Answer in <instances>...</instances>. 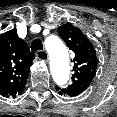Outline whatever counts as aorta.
I'll use <instances>...</instances> for the list:
<instances>
[{
    "label": "aorta",
    "instance_id": "1",
    "mask_svg": "<svg viewBox=\"0 0 117 117\" xmlns=\"http://www.w3.org/2000/svg\"><path fill=\"white\" fill-rule=\"evenodd\" d=\"M45 48L50 55V71L56 84L65 85L69 79V54L66 46L55 35L45 39Z\"/></svg>",
    "mask_w": 117,
    "mask_h": 117
}]
</instances>
